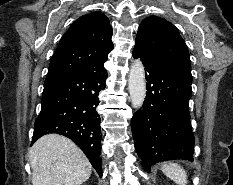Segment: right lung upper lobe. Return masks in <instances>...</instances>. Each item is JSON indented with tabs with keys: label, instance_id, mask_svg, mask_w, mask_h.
I'll return each instance as SVG.
<instances>
[{
	"label": "right lung upper lobe",
	"instance_id": "obj_1",
	"mask_svg": "<svg viewBox=\"0 0 233 185\" xmlns=\"http://www.w3.org/2000/svg\"><path fill=\"white\" fill-rule=\"evenodd\" d=\"M112 27L101 12L81 16L61 38L47 77L103 67L113 49Z\"/></svg>",
	"mask_w": 233,
	"mask_h": 185
}]
</instances>
